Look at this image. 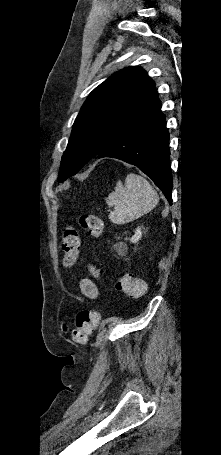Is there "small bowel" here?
I'll return each mask as SVG.
<instances>
[{"mask_svg": "<svg viewBox=\"0 0 221 455\" xmlns=\"http://www.w3.org/2000/svg\"><path fill=\"white\" fill-rule=\"evenodd\" d=\"M87 268L95 279L99 280L101 278L98 269L93 264H88ZM80 290L84 296L90 299H95L99 295V290L96 283L90 278H84L81 280Z\"/></svg>", "mask_w": 221, "mask_h": 455, "instance_id": "c3829d8e", "label": "small bowel"}]
</instances>
